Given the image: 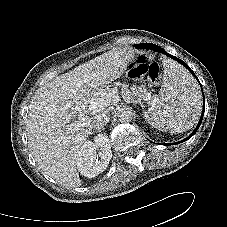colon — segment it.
Returning <instances> with one entry per match:
<instances>
[{"instance_id": "obj_1", "label": "colon", "mask_w": 227, "mask_h": 227, "mask_svg": "<svg viewBox=\"0 0 227 227\" xmlns=\"http://www.w3.org/2000/svg\"><path fill=\"white\" fill-rule=\"evenodd\" d=\"M128 75L132 79L147 80L152 85L160 82V69L157 63H148L144 56H138L129 65Z\"/></svg>"}]
</instances>
